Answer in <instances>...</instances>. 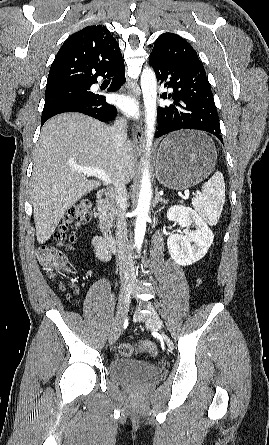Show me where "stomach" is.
Segmentation results:
<instances>
[{
  "instance_id": "obj_1",
  "label": "stomach",
  "mask_w": 269,
  "mask_h": 445,
  "mask_svg": "<svg viewBox=\"0 0 269 445\" xmlns=\"http://www.w3.org/2000/svg\"><path fill=\"white\" fill-rule=\"evenodd\" d=\"M217 153L213 142L199 131H178L166 136L157 152L156 177L173 190L190 188L213 170Z\"/></svg>"
}]
</instances>
